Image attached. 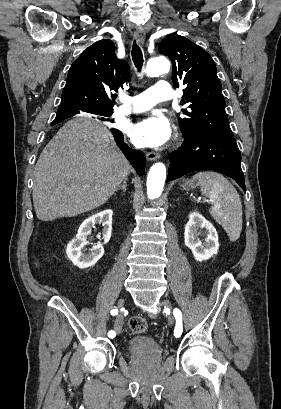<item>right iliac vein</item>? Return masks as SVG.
Listing matches in <instances>:
<instances>
[{
    "label": "right iliac vein",
    "mask_w": 281,
    "mask_h": 409,
    "mask_svg": "<svg viewBox=\"0 0 281 409\" xmlns=\"http://www.w3.org/2000/svg\"><path fill=\"white\" fill-rule=\"evenodd\" d=\"M123 306H124V299L120 298L118 300L117 307L119 309H123ZM122 325H123V313L119 312V314L116 316L115 325H114L115 331L117 334L121 332Z\"/></svg>",
    "instance_id": "63e3f726"
}]
</instances>
